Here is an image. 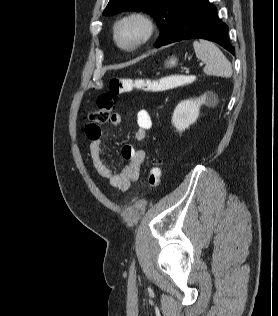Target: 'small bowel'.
<instances>
[{
    "label": "small bowel",
    "instance_id": "obj_1",
    "mask_svg": "<svg viewBox=\"0 0 278 316\" xmlns=\"http://www.w3.org/2000/svg\"><path fill=\"white\" fill-rule=\"evenodd\" d=\"M122 121L120 113H113L110 117V123L119 125ZM137 129L135 138L137 141H142L146 138L148 132L152 127V119L147 109H140L136 115ZM85 134L91 141L90 155L99 176L107 180L108 183L121 191H126L130 188L132 183H135L140 178L142 166L145 162L146 153L141 149H137L132 145H125L122 150V156L129 160L121 171H117L108 165L102 158L104 143L101 137L100 128L94 132L85 128Z\"/></svg>",
    "mask_w": 278,
    "mask_h": 316
}]
</instances>
